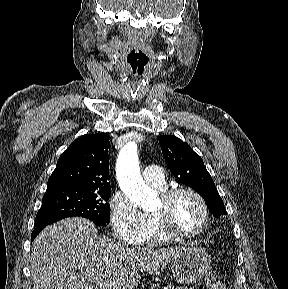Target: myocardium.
Segmentation results:
<instances>
[{
	"label": "myocardium",
	"mask_w": 288,
	"mask_h": 289,
	"mask_svg": "<svg viewBox=\"0 0 288 289\" xmlns=\"http://www.w3.org/2000/svg\"><path fill=\"white\" fill-rule=\"evenodd\" d=\"M181 195H190L197 200L199 203L202 213L203 220L201 225L192 232L189 233H181L172 228L169 217L167 215V211L171 205V203ZM160 198L163 203L164 211L163 213H153V218L159 228V230L167 236L171 240H189L195 237L200 236L204 233L210 224V212L208 205L205 199L192 188L181 187V188H172L169 190H165L161 193Z\"/></svg>",
	"instance_id": "f54148a6"
}]
</instances>
